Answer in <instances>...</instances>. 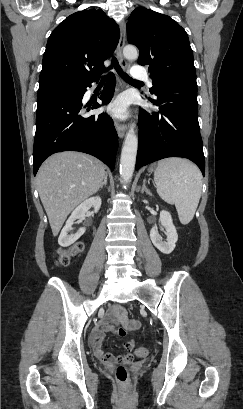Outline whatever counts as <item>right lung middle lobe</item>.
<instances>
[{
	"label": "right lung middle lobe",
	"instance_id": "obj_1",
	"mask_svg": "<svg viewBox=\"0 0 243 409\" xmlns=\"http://www.w3.org/2000/svg\"><path fill=\"white\" fill-rule=\"evenodd\" d=\"M81 85L80 83L62 77L40 79L38 95L54 90L79 88Z\"/></svg>",
	"mask_w": 243,
	"mask_h": 409
}]
</instances>
